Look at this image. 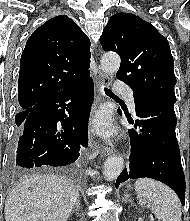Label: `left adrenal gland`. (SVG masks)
<instances>
[{"label":"left adrenal gland","instance_id":"left-adrenal-gland-1","mask_svg":"<svg viewBox=\"0 0 190 221\" xmlns=\"http://www.w3.org/2000/svg\"><path fill=\"white\" fill-rule=\"evenodd\" d=\"M124 202H125V203H128V202H129V203H132L129 194H127V193L125 194Z\"/></svg>","mask_w":190,"mask_h":221}]
</instances>
